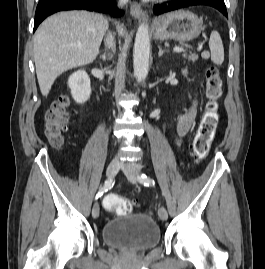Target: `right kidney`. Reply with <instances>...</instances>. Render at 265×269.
<instances>
[{
  "mask_svg": "<svg viewBox=\"0 0 265 269\" xmlns=\"http://www.w3.org/2000/svg\"><path fill=\"white\" fill-rule=\"evenodd\" d=\"M68 86L77 103H84L89 99L91 94L90 78L85 71L74 72L68 79Z\"/></svg>",
  "mask_w": 265,
  "mask_h": 269,
  "instance_id": "right-kidney-1",
  "label": "right kidney"
}]
</instances>
